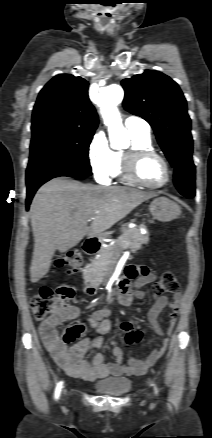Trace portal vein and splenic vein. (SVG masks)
Wrapping results in <instances>:
<instances>
[{
  "label": "portal vein and splenic vein",
  "mask_w": 212,
  "mask_h": 438,
  "mask_svg": "<svg viewBox=\"0 0 212 438\" xmlns=\"http://www.w3.org/2000/svg\"><path fill=\"white\" fill-rule=\"evenodd\" d=\"M95 219V217H91L89 220H94Z\"/></svg>",
  "instance_id": "1"
}]
</instances>
